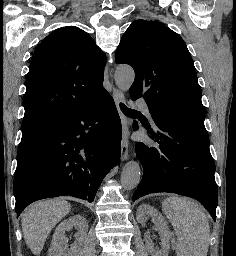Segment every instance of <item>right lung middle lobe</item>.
Returning <instances> with one entry per match:
<instances>
[{
    "label": "right lung middle lobe",
    "instance_id": "1",
    "mask_svg": "<svg viewBox=\"0 0 236 256\" xmlns=\"http://www.w3.org/2000/svg\"><path fill=\"white\" fill-rule=\"evenodd\" d=\"M56 119H34L22 122V139L27 138L53 124Z\"/></svg>",
    "mask_w": 236,
    "mask_h": 256
}]
</instances>
